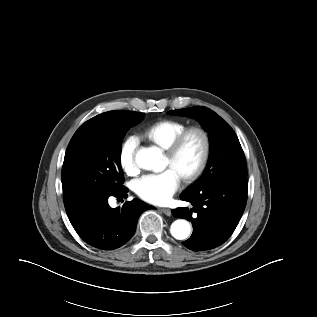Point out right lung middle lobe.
<instances>
[{"label": "right lung middle lobe", "mask_w": 317, "mask_h": 317, "mask_svg": "<svg viewBox=\"0 0 317 317\" xmlns=\"http://www.w3.org/2000/svg\"><path fill=\"white\" fill-rule=\"evenodd\" d=\"M143 117V113L114 110L80 126L67 147L62 167L65 207L124 189L120 167L122 140Z\"/></svg>", "instance_id": "obj_1"}]
</instances>
